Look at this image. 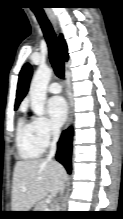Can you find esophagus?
<instances>
[{
	"label": "esophagus",
	"mask_w": 123,
	"mask_h": 219,
	"mask_svg": "<svg viewBox=\"0 0 123 219\" xmlns=\"http://www.w3.org/2000/svg\"><path fill=\"white\" fill-rule=\"evenodd\" d=\"M48 15H49L52 23L56 26V19H55L54 15L51 12H48ZM65 83H66V86H67V100H68V121H67V127H68L70 125L71 121H72L73 103H72V99H71L69 88H68V78L67 77L65 79Z\"/></svg>",
	"instance_id": "1"
}]
</instances>
